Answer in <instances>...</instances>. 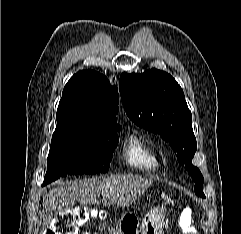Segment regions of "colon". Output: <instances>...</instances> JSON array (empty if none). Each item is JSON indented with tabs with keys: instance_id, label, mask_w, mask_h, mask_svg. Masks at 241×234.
I'll use <instances>...</instances> for the list:
<instances>
[{
	"instance_id": "1",
	"label": "colon",
	"mask_w": 241,
	"mask_h": 234,
	"mask_svg": "<svg viewBox=\"0 0 241 234\" xmlns=\"http://www.w3.org/2000/svg\"><path fill=\"white\" fill-rule=\"evenodd\" d=\"M92 215L91 210L82 206L60 212L46 234H78L79 227ZM179 228L182 234H197L192 211L182 212L179 218Z\"/></svg>"
}]
</instances>
